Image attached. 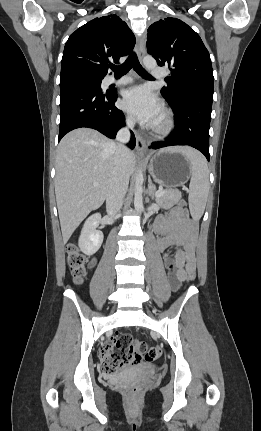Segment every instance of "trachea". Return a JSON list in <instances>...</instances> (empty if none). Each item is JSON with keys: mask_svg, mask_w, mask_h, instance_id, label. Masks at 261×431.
I'll return each instance as SVG.
<instances>
[{"mask_svg": "<svg viewBox=\"0 0 261 431\" xmlns=\"http://www.w3.org/2000/svg\"><path fill=\"white\" fill-rule=\"evenodd\" d=\"M132 67L143 78L153 79V77L141 66L135 53H132L122 65L113 66L111 69L114 71L115 76H122L128 73Z\"/></svg>", "mask_w": 261, "mask_h": 431, "instance_id": "trachea-1", "label": "trachea"}]
</instances>
